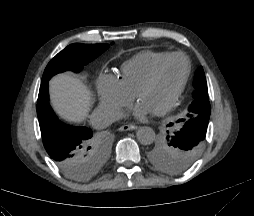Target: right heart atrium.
<instances>
[{"mask_svg":"<svg viewBox=\"0 0 254 216\" xmlns=\"http://www.w3.org/2000/svg\"><path fill=\"white\" fill-rule=\"evenodd\" d=\"M99 100L103 105H115L119 109L126 108L132 101V94L128 93L118 80L103 77L98 87Z\"/></svg>","mask_w":254,"mask_h":216,"instance_id":"d8ad5b80","label":"right heart atrium"}]
</instances>
